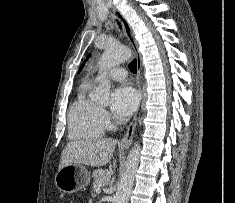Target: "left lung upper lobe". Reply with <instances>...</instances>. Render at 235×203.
Wrapping results in <instances>:
<instances>
[{
    "instance_id": "left-lung-upper-lobe-1",
    "label": "left lung upper lobe",
    "mask_w": 235,
    "mask_h": 203,
    "mask_svg": "<svg viewBox=\"0 0 235 203\" xmlns=\"http://www.w3.org/2000/svg\"><path fill=\"white\" fill-rule=\"evenodd\" d=\"M83 65H84V63H83ZM83 65H82V67H83ZM82 67L80 68V70L82 69ZM80 70H79V71H80Z\"/></svg>"
}]
</instances>
